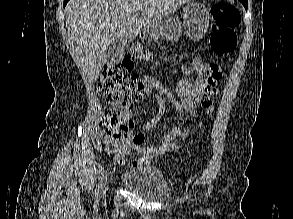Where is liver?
I'll return each instance as SVG.
<instances>
[{
  "instance_id": "6515ba94",
  "label": "liver",
  "mask_w": 293,
  "mask_h": 219,
  "mask_svg": "<svg viewBox=\"0 0 293 219\" xmlns=\"http://www.w3.org/2000/svg\"><path fill=\"white\" fill-rule=\"evenodd\" d=\"M190 0H70L66 27L83 74L96 81L107 47L116 38L133 41L143 28L155 25Z\"/></svg>"
}]
</instances>
